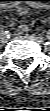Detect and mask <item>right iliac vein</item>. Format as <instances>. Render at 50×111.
Returning <instances> with one entry per match:
<instances>
[{
    "label": "right iliac vein",
    "mask_w": 50,
    "mask_h": 111,
    "mask_svg": "<svg viewBox=\"0 0 50 111\" xmlns=\"http://www.w3.org/2000/svg\"><path fill=\"white\" fill-rule=\"evenodd\" d=\"M0 42L2 44H5L7 42V39L3 33L0 34Z\"/></svg>",
    "instance_id": "right-iliac-vein-1"
}]
</instances>
